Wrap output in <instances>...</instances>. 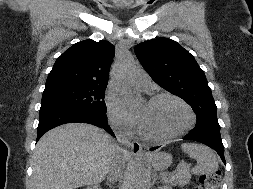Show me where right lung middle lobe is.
Here are the masks:
<instances>
[{
	"instance_id": "1",
	"label": "right lung middle lobe",
	"mask_w": 253,
	"mask_h": 189,
	"mask_svg": "<svg viewBox=\"0 0 253 189\" xmlns=\"http://www.w3.org/2000/svg\"><path fill=\"white\" fill-rule=\"evenodd\" d=\"M106 87L97 86H59L44 90L41 108H66L106 113L104 91Z\"/></svg>"
}]
</instances>
